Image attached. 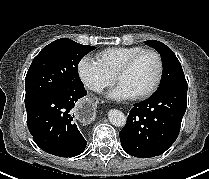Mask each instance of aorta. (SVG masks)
Returning <instances> with one entry per match:
<instances>
[{
    "label": "aorta",
    "instance_id": "762f6f07",
    "mask_svg": "<svg viewBox=\"0 0 209 179\" xmlns=\"http://www.w3.org/2000/svg\"><path fill=\"white\" fill-rule=\"evenodd\" d=\"M108 119L112 125L117 127H123L126 124V116L117 109H112L108 112Z\"/></svg>",
    "mask_w": 209,
    "mask_h": 179
}]
</instances>
